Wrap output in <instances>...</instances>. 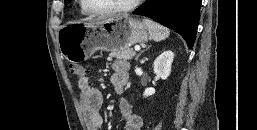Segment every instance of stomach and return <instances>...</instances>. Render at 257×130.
Wrapping results in <instances>:
<instances>
[{
    "label": "stomach",
    "instance_id": "obj_1",
    "mask_svg": "<svg viewBox=\"0 0 257 130\" xmlns=\"http://www.w3.org/2000/svg\"><path fill=\"white\" fill-rule=\"evenodd\" d=\"M149 38L145 24L127 15L98 22H69L58 31L60 52L73 63L89 59L97 50L113 52L147 42Z\"/></svg>",
    "mask_w": 257,
    "mask_h": 130
}]
</instances>
